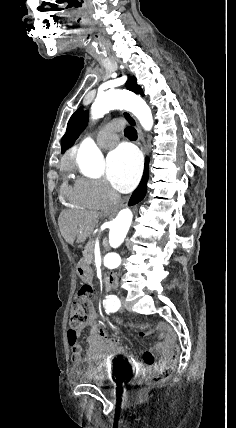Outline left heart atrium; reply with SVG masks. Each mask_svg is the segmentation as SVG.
I'll return each instance as SVG.
<instances>
[{
	"instance_id": "1",
	"label": "left heart atrium",
	"mask_w": 236,
	"mask_h": 428,
	"mask_svg": "<svg viewBox=\"0 0 236 428\" xmlns=\"http://www.w3.org/2000/svg\"><path fill=\"white\" fill-rule=\"evenodd\" d=\"M106 173L111 184L121 192L131 191L142 173V158L130 145L113 150L106 160Z\"/></svg>"
}]
</instances>
